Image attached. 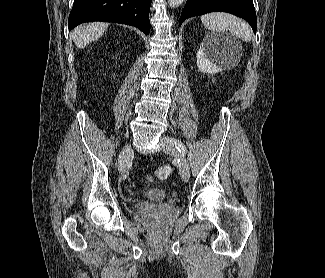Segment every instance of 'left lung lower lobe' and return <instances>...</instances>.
Returning a JSON list of instances; mask_svg holds the SVG:
<instances>
[{
    "mask_svg": "<svg viewBox=\"0 0 325 278\" xmlns=\"http://www.w3.org/2000/svg\"><path fill=\"white\" fill-rule=\"evenodd\" d=\"M215 11L228 12L245 19L256 33L257 18L253 0H187L180 25L187 18Z\"/></svg>",
    "mask_w": 325,
    "mask_h": 278,
    "instance_id": "0a47b994",
    "label": "left lung lower lobe"
}]
</instances>
